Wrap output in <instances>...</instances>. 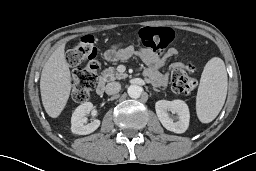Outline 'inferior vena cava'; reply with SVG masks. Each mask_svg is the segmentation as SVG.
<instances>
[{
  "instance_id": "inferior-vena-cava-1",
  "label": "inferior vena cava",
  "mask_w": 256,
  "mask_h": 171,
  "mask_svg": "<svg viewBox=\"0 0 256 171\" xmlns=\"http://www.w3.org/2000/svg\"><path fill=\"white\" fill-rule=\"evenodd\" d=\"M121 85L119 82H110L106 85V93L108 95L116 94L120 91Z\"/></svg>"
}]
</instances>
